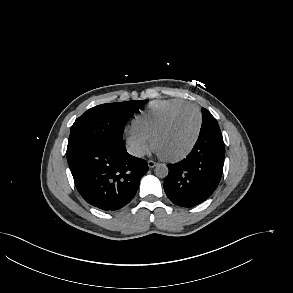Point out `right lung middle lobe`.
<instances>
[{"label": "right lung middle lobe", "mask_w": 293, "mask_h": 293, "mask_svg": "<svg viewBox=\"0 0 293 293\" xmlns=\"http://www.w3.org/2000/svg\"><path fill=\"white\" fill-rule=\"evenodd\" d=\"M147 102L108 103L87 110L71 127L67 157L98 142L122 140L127 121Z\"/></svg>", "instance_id": "right-lung-middle-lobe-1"}]
</instances>
